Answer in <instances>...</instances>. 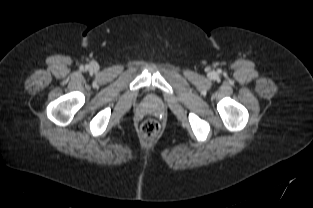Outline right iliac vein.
Returning <instances> with one entry per match:
<instances>
[{
	"label": "right iliac vein",
	"instance_id": "obj_1",
	"mask_svg": "<svg viewBox=\"0 0 313 208\" xmlns=\"http://www.w3.org/2000/svg\"><path fill=\"white\" fill-rule=\"evenodd\" d=\"M91 68H95V65H92Z\"/></svg>",
	"mask_w": 313,
	"mask_h": 208
}]
</instances>
